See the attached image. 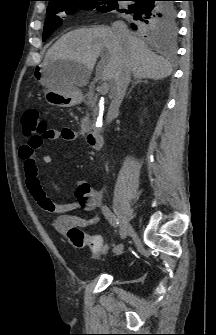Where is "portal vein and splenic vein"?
Listing matches in <instances>:
<instances>
[{
  "label": "portal vein and splenic vein",
  "mask_w": 216,
  "mask_h": 335,
  "mask_svg": "<svg viewBox=\"0 0 216 335\" xmlns=\"http://www.w3.org/2000/svg\"><path fill=\"white\" fill-rule=\"evenodd\" d=\"M102 95H105L109 91V83L105 82L102 84L101 88L98 90Z\"/></svg>",
  "instance_id": "portal-vein-and-splenic-vein-1"
}]
</instances>
